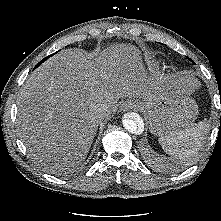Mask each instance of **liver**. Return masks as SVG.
I'll list each match as a JSON object with an SVG mask.
<instances>
[{"instance_id":"liver-1","label":"liver","mask_w":221,"mask_h":221,"mask_svg":"<svg viewBox=\"0 0 221 221\" xmlns=\"http://www.w3.org/2000/svg\"><path fill=\"white\" fill-rule=\"evenodd\" d=\"M149 85L140 53L132 45L119 44L88 56L77 49L63 50L24 85L18 108L20 135L36 159L74 166L86 158L98 125L116 111L118 100H148ZM193 89L183 91L190 94Z\"/></svg>"}]
</instances>
